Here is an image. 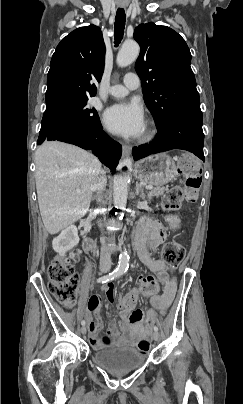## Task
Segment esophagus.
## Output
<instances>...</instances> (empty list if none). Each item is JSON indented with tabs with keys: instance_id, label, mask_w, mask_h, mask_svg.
<instances>
[{
	"instance_id": "obj_1",
	"label": "esophagus",
	"mask_w": 243,
	"mask_h": 404,
	"mask_svg": "<svg viewBox=\"0 0 243 404\" xmlns=\"http://www.w3.org/2000/svg\"><path fill=\"white\" fill-rule=\"evenodd\" d=\"M132 150L131 145H123V156L126 157L130 154Z\"/></svg>"
}]
</instances>
